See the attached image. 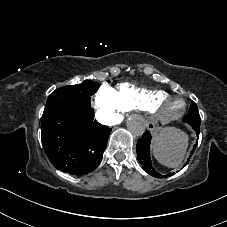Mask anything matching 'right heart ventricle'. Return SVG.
<instances>
[{
	"label": "right heart ventricle",
	"instance_id": "obj_1",
	"mask_svg": "<svg viewBox=\"0 0 227 227\" xmlns=\"http://www.w3.org/2000/svg\"><path fill=\"white\" fill-rule=\"evenodd\" d=\"M113 90L124 112L147 111L151 102L168 95L166 91L147 89L132 83H120Z\"/></svg>",
	"mask_w": 227,
	"mask_h": 227
}]
</instances>
